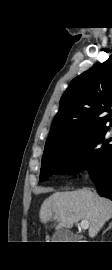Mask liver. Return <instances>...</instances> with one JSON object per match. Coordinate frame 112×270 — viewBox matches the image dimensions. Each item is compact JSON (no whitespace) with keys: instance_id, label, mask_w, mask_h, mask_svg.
Instances as JSON below:
<instances>
[{"instance_id":"1","label":"liver","mask_w":112,"mask_h":270,"mask_svg":"<svg viewBox=\"0 0 112 270\" xmlns=\"http://www.w3.org/2000/svg\"><path fill=\"white\" fill-rule=\"evenodd\" d=\"M39 218L44 223L53 218L58 228H72L78 221L86 220L89 237L94 238L112 218V201L88 189L55 192L42 203ZM46 240H50L49 235Z\"/></svg>"}]
</instances>
